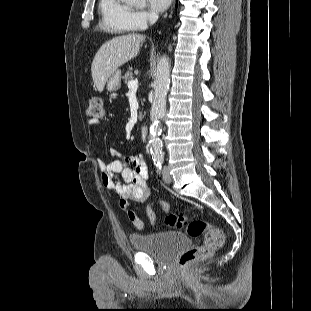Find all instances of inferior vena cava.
I'll return each mask as SVG.
<instances>
[{
    "label": "inferior vena cava",
    "instance_id": "obj_1",
    "mask_svg": "<svg viewBox=\"0 0 311 311\" xmlns=\"http://www.w3.org/2000/svg\"><path fill=\"white\" fill-rule=\"evenodd\" d=\"M148 18H149L150 24H154L157 21L158 16L156 14H150Z\"/></svg>",
    "mask_w": 311,
    "mask_h": 311
}]
</instances>
